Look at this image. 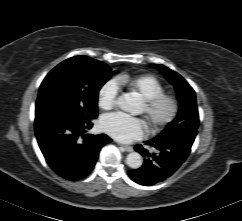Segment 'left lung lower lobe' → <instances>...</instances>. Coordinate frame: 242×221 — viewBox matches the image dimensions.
<instances>
[{
	"label": "left lung lower lobe",
	"mask_w": 242,
	"mask_h": 221,
	"mask_svg": "<svg viewBox=\"0 0 242 221\" xmlns=\"http://www.w3.org/2000/svg\"><path fill=\"white\" fill-rule=\"evenodd\" d=\"M193 138L152 139L146 142L155 148L149 152L142 145L135 150L145 157L142 167L128 171L130 178L140 185H153L170 177L188 157Z\"/></svg>",
	"instance_id": "0a47b994"
}]
</instances>
